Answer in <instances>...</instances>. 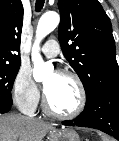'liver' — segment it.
<instances>
[{"label": "liver", "instance_id": "obj_1", "mask_svg": "<svg viewBox=\"0 0 119 141\" xmlns=\"http://www.w3.org/2000/svg\"><path fill=\"white\" fill-rule=\"evenodd\" d=\"M53 124L22 115H0V141H42Z\"/></svg>", "mask_w": 119, "mask_h": 141}]
</instances>
